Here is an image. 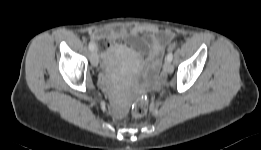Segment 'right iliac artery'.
Returning a JSON list of instances; mask_svg holds the SVG:
<instances>
[{
  "label": "right iliac artery",
  "instance_id": "obj_1",
  "mask_svg": "<svg viewBox=\"0 0 261 150\" xmlns=\"http://www.w3.org/2000/svg\"><path fill=\"white\" fill-rule=\"evenodd\" d=\"M89 49H90L91 51H94V50H95V45L92 44V43H89Z\"/></svg>",
  "mask_w": 261,
  "mask_h": 150
}]
</instances>
